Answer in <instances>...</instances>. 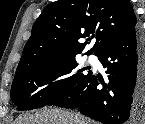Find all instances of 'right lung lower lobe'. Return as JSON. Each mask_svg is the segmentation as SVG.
<instances>
[{"label":"right lung lower lobe","mask_w":145,"mask_h":124,"mask_svg":"<svg viewBox=\"0 0 145 124\" xmlns=\"http://www.w3.org/2000/svg\"><path fill=\"white\" fill-rule=\"evenodd\" d=\"M108 80L90 75L47 105L76 108L104 124H133L145 111V35L138 25L97 54ZM103 85L98 89L99 84Z\"/></svg>","instance_id":"right-lung-lower-lobe-1"}]
</instances>
